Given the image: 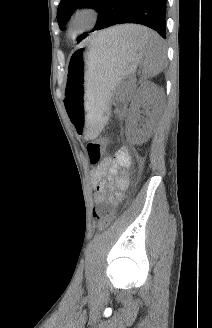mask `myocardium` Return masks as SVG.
<instances>
[{
    "label": "myocardium",
    "mask_w": 212,
    "mask_h": 328,
    "mask_svg": "<svg viewBox=\"0 0 212 328\" xmlns=\"http://www.w3.org/2000/svg\"><path fill=\"white\" fill-rule=\"evenodd\" d=\"M100 11L93 5L84 4L76 7L69 18L68 28L71 35H77L92 27L98 20Z\"/></svg>",
    "instance_id": "f54148a6"
}]
</instances>
